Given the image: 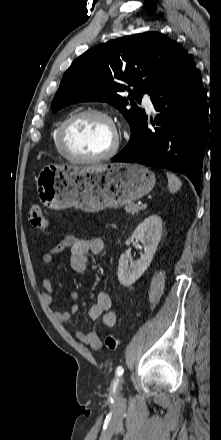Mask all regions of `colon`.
Here are the masks:
<instances>
[{
	"label": "colon",
	"instance_id": "obj_1",
	"mask_svg": "<svg viewBox=\"0 0 221 440\" xmlns=\"http://www.w3.org/2000/svg\"><path fill=\"white\" fill-rule=\"evenodd\" d=\"M30 224L33 228L38 230H44L47 226L46 218L44 216L43 210L39 205H33L29 212ZM105 347L110 351H115L118 348V339L110 334L104 339Z\"/></svg>",
	"mask_w": 221,
	"mask_h": 440
}]
</instances>
